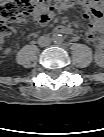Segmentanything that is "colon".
Returning a JSON list of instances; mask_svg holds the SVG:
<instances>
[{
  "mask_svg": "<svg viewBox=\"0 0 104 137\" xmlns=\"http://www.w3.org/2000/svg\"><path fill=\"white\" fill-rule=\"evenodd\" d=\"M84 0H5L0 5V35L11 31L13 22L21 21L31 15L46 21L57 10L70 7ZM97 7L103 5V0H93Z\"/></svg>",
  "mask_w": 104,
  "mask_h": 137,
  "instance_id": "1",
  "label": "colon"
}]
</instances>
